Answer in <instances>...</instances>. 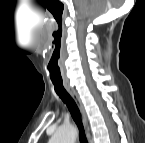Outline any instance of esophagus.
I'll list each match as a JSON object with an SVG mask.
<instances>
[{
	"label": "esophagus",
	"mask_w": 145,
	"mask_h": 143,
	"mask_svg": "<svg viewBox=\"0 0 145 143\" xmlns=\"http://www.w3.org/2000/svg\"><path fill=\"white\" fill-rule=\"evenodd\" d=\"M64 86H65V89L67 90V92L71 95V97L74 99L75 103L77 104V106L80 110V113H81L82 122H83L84 126L86 127L87 126V117H86L84 106L79 98V95L69 84H65Z\"/></svg>",
	"instance_id": "obj_1"
}]
</instances>
